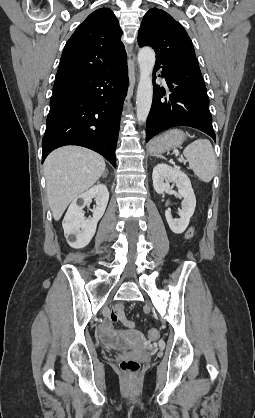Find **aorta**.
<instances>
[{
	"instance_id": "obj_1",
	"label": "aorta",
	"mask_w": 255,
	"mask_h": 418,
	"mask_svg": "<svg viewBox=\"0 0 255 418\" xmlns=\"http://www.w3.org/2000/svg\"><path fill=\"white\" fill-rule=\"evenodd\" d=\"M140 77L136 95V114L139 123H144L149 115L153 84L152 71L155 65V52L150 47H143L138 53Z\"/></svg>"
}]
</instances>
